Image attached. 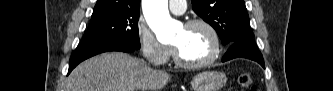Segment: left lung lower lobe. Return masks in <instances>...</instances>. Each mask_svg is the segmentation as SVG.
I'll list each match as a JSON object with an SVG mask.
<instances>
[{
	"instance_id": "1",
	"label": "left lung lower lobe",
	"mask_w": 333,
	"mask_h": 91,
	"mask_svg": "<svg viewBox=\"0 0 333 91\" xmlns=\"http://www.w3.org/2000/svg\"><path fill=\"white\" fill-rule=\"evenodd\" d=\"M228 47V51L223 56V62L234 58H247L258 62L265 67L262 54L258 50L253 38L235 41L228 45Z\"/></svg>"
}]
</instances>
